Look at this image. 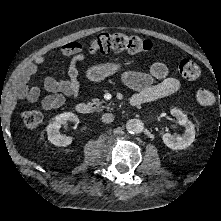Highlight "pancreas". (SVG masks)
Masks as SVG:
<instances>
[{"label":"pancreas","instance_id":"pancreas-1","mask_svg":"<svg viewBox=\"0 0 221 221\" xmlns=\"http://www.w3.org/2000/svg\"><path fill=\"white\" fill-rule=\"evenodd\" d=\"M103 102H101L99 99L95 98V99H92V103L91 105L93 106V110L94 111H98V112H101L104 108V106L102 105Z\"/></svg>","mask_w":221,"mask_h":221}]
</instances>
